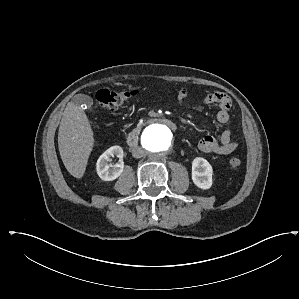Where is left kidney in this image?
I'll return each instance as SVG.
<instances>
[{
  "mask_svg": "<svg viewBox=\"0 0 299 299\" xmlns=\"http://www.w3.org/2000/svg\"><path fill=\"white\" fill-rule=\"evenodd\" d=\"M213 169L209 162L197 157L192 162V180L200 189L206 190L212 186Z\"/></svg>",
  "mask_w": 299,
  "mask_h": 299,
  "instance_id": "left-kidney-1",
  "label": "left kidney"
}]
</instances>
